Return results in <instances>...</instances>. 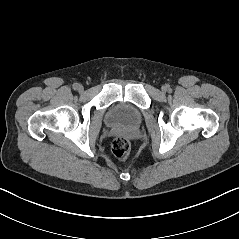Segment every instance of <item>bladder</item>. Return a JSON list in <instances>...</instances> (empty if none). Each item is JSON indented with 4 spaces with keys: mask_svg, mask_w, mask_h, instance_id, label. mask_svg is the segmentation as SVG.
<instances>
[{
    "mask_svg": "<svg viewBox=\"0 0 239 239\" xmlns=\"http://www.w3.org/2000/svg\"><path fill=\"white\" fill-rule=\"evenodd\" d=\"M142 120L143 115L140 109L125 102L113 105L106 115V122L111 126L137 128L142 123Z\"/></svg>",
    "mask_w": 239,
    "mask_h": 239,
    "instance_id": "31cf9c89",
    "label": "bladder"
}]
</instances>
